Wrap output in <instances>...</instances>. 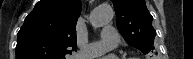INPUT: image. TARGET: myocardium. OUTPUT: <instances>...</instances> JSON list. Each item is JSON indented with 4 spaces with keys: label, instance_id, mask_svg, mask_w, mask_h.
Returning <instances> with one entry per match:
<instances>
[{
    "label": "myocardium",
    "instance_id": "obj_1",
    "mask_svg": "<svg viewBox=\"0 0 193 59\" xmlns=\"http://www.w3.org/2000/svg\"><path fill=\"white\" fill-rule=\"evenodd\" d=\"M124 59H139V58H136V57H127V58H124Z\"/></svg>",
    "mask_w": 193,
    "mask_h": 59
}]
</instances>
